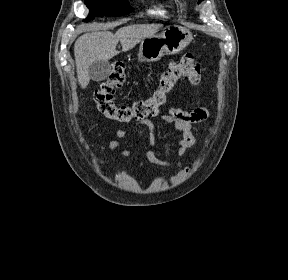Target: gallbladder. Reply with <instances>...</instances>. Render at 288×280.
<instances>
[{"label":"gallbladder","instance_id":"bac80fb5","mask_svg":"<svg viewBox=\"0 0 288 280\" xmlns=\"http://www.w3.org/2000/svg\"><path fill=\"white\" fill-rule=\"evenodd\" d=\"M88 73L93 81H103L110 75L111 65L108 61L97 60L90 65Z\"/></svg>","mask_w":288,"mask_h":280}]
</instances>
